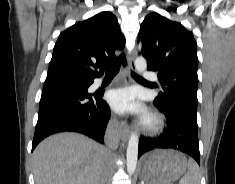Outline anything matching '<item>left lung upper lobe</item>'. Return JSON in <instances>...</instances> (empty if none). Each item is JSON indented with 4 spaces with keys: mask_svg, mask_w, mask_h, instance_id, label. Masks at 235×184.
Segmentation results:
<instances>
[{
    "mask_svg": "<svg viewBox=\"0 0 235 184\" xmlns=\"http://www.w3.org/2000/svg\"><path fill=\"white\" fill-rule=\"evenodd\" d=\"M138 40L147 70L157 71L162 91L154 103L178 102L197 110L198 57L192 32L157 13L146 16Z\"/></svg>",
    "mask_w": 235,
    "mask_h": 184,
    "instance_id": "5c2ea615",
    "label": "left lung upper lobe"
}]
</instances>
